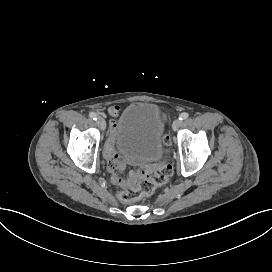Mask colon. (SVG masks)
<instances>
[{"label": "colon", "mask_w": 272, "mask_h": 272, "mask_svg": "<svg viewBox=\"0 0 272 272\" xmlns=\"http://www.w3.org/2000/svg\"><path fill=\"white\" fill-rule=\"evenodd\" d=\"M164 141H168L167 135L163 136ZM124 159L119 157L110 162V168L122 171L124 169ZM173 167L171 164L166 163L162 167L153 171L152 174L134 173L131 176H114V181L121 187V193L129 196L131 200L138 199L140 195L149 196L153 194L155 187L167 182L168 178L172 175Z\"/></svg>", "instance_id": "obj_1"}]
</instances>
